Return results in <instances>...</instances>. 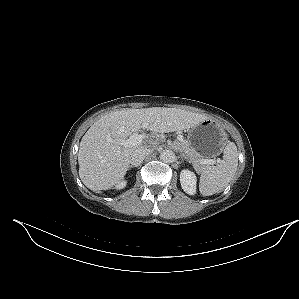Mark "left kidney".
I'll return each mask as SVG.
<instances>
[{"mask_svg": "<svg viewBox=\"0 0 299 299\" xmlns=\"http://www.w3.org/2000/svg\"><path fill=\"white\" fill-rule=\"evenodd\" d=\"M180 183L182 189L189 195L196 193V176L189 170H182L180 173Z\"/></svg>", "mask_w": 299, "mask_h": 299, "instance_id": "1", "label": "left kidney"}]
</instances>
